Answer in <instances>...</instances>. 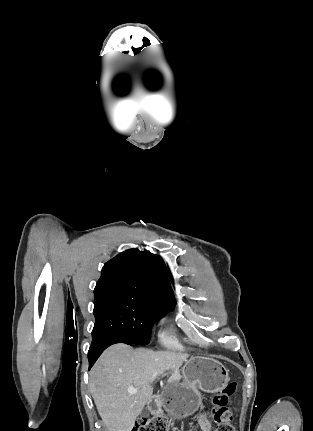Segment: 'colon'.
Masks as SVG:
<instances>
[{
	"label": "colon",
	"instance_id": "obj_1",
	"mask_svg": "<svg viewBox=\"0 0 313 431\" xmlns=\"http://www.w3.org/2000/svg\"><path fill=\"white\" fill-rule=\"evenodd\" d=\"M236 390V383L230 382L212 397L211 415L216 424L215 431H234L228 404ZM132 431H168V427L166 422L159 417H143L136 422Z\"/></svg>",
	"mask_w": 313,
	"mask_h": 431
}]
</instances>
